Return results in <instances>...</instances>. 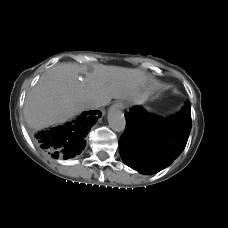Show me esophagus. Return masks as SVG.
<instances>
[{"label": "esophagus", "mask_w": 228, "mask_h": 228, "mask_svg": "<svg viewBox=\"0 0 228 228\" xmlns=\"http://www.w3.org/2000/svg\"><path fill=\"white\" fill-rule=\"evenodd\" d=\"M114 108H117V109H120V110H123L125 109V105L122 103V102H116L114 105H113Z\"/></svg>", "instance_id": "esophagus-1"}]
</instances>
